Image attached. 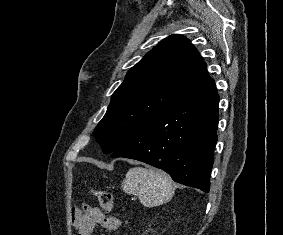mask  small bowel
<instances>
[{"instance_id":"obj_1","label":"small bowel","mask_w":283,"mask_h":235,"mask_svg":"<svg viewBox=\"0 0 283 235\" xmlns=\"http://www.w3.org/2000/svg\"><path fill=\"white\" fill-rule=\"evenodd\" d=\"M71 217L76 235H90L96 225H100L109 231H116L122 225L120 219L106 216L100 209L89 205L72 208Z\"/></svg>"}]
</instances>
